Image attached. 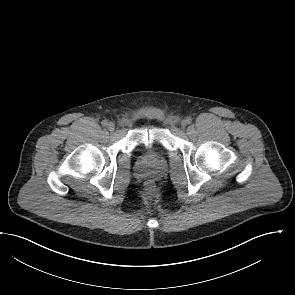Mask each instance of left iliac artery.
<instances>
[{"label":"left iliac artery","mask_w":295,"mask_h":295,"mask_svg":"<svg viewBox=\"0 0 295 295\" xmlns=\"http://www.w3.org/2000/svg\"><path fill=\"white\" fill-rule=\"evenodd\" d=\"M186 122H187V124H191L192 123V119L190 117H187L186 118Z\"/></svg>","instance_id":"left-iliac-artery-1"}]
</instances>
